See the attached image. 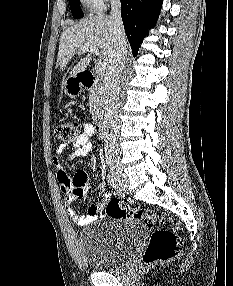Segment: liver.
<instances>
[{"instance_id":"liver-1","label":"liver","mask_w":233,"mask_h":286,"mask_svg":"<svg viewBox=\"0 0 233 286\" xmlns=\"http://www.w3.org/2000/svg\"><path fill=\"white\" fill-rule=\"evenodd\" d=\"M82 46L101 49V55L107 71L115 52L114 22L107 15H95L81 20L65 29L60 37L56 68L64 71L69 61ZM87 52V51H86ZM91 54H86L70 71V76L84 71L90 63Z\"/></svg>"}]
</instances>
